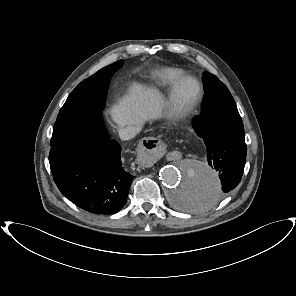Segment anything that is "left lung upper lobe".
<instances>
[{
    "instance_id": "obj_1",
    "label": "left lung upper lobe",
    "mask_w": 296,
    "mask_h": 296,
    "mask_svg": "<svg viewBox=\"0 0 296 296\" xmlns=\"http://www.w3.org/2000/svg\"><path fill=\"white\" fill-rule=\"evenodd\" d=\"M203 83L205 89L204 101L224 95H230L228 88L214 75L206 72L203 75Z\"/></svg>"
}]
</instances>
